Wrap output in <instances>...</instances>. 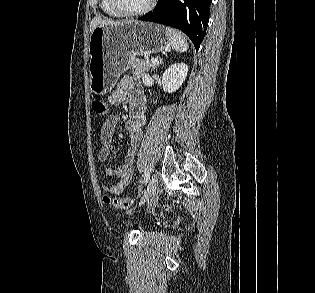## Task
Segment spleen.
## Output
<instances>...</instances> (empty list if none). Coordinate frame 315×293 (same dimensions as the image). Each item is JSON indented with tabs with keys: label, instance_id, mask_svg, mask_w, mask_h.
Segmentation results:
<instances>
[{
	"label": "spleen",
	"instance_id": "3e777b00",
	"mask_svg": "<svg viewBox=\"0 0 315 293\" xmlns=\"http://www.w3.org/2000/svg\"><path fill=\"white\" fill-rule=\"evenodd\" d=\"M165 30L169 36L172 49L180 53L187 51L189 45L186 38L179 31L170 27H166Z\"/></svg>",
	"mask_w": 315,
	"mask_h": 293
}]
</instances>
